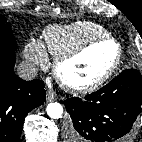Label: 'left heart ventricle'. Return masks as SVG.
Here are the masks:
<instances>
[{
	"label": "left heart ventricle",
	"mask_w": 142,
	"mask_h": 142,
	"mask_svg": "<svg viewBox=\"0 0 142 142\" xmlns=\"http://www.w3.org/2000/svg\"><path fill=\"white\" fill-rule=\"evenodd\" d=\"M116 47L104 42L88 50L84 55L65 64L62 74L71 83L87 84L100 77L113 63Z\"/></svg>",
	"instance_id": "obj_1"
}]
</instances>
